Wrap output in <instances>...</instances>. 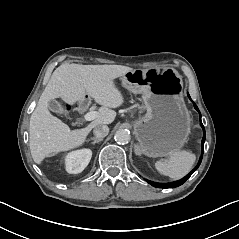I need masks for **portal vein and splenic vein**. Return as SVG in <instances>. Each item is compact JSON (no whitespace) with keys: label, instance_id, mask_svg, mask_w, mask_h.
I'll return each mask as SVG.
<instances>
[{"label":"portal vein and splenic vein","instance_id":"obj_1","mask_svg":"<svg viewBox=\"0 0 239 239\" xmlns=\"http://www.w3.org/2000/svg\"><path fill=\"white\" fill-rule=\"evenodd\" d=\"M96 116H97L96 112L91 111V112H88V113L84 114L83 119L86 122L87 121H92L96 118Z\"/></svg>","mask_w":239,"mask_h":239}]
</instances>
